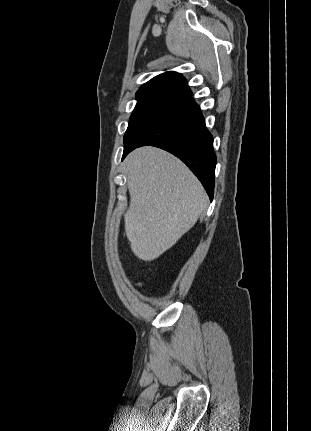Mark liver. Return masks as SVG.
I'll return each mask as SVG.
<instances>
[{
    "instance_id": "6515ba94",
    "label": "liver",
    "mask_w": 311,
    "mask_h": 431,
    "mask_svg": "<svg viewBox=\"0 0 311 431\" xmlns=\"http://www.w3.org/2000/svg\"><path fill=\"white\" fill-rule=\"evenodd\" d=\"M130 206L124 216L130 247L151 261L189 231L205 210L207 194L178 158L159 148H138L125 160Z\"/></svg>"
}]
</instances>
